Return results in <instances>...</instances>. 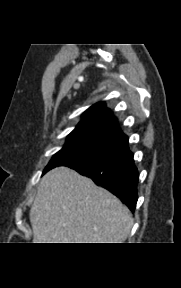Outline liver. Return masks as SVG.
<instances>
[{"label": "liver", "instance_id": "1", "mask_svg": "<svg viewBox=\"0 0 181 288\" xmlns=\"http://www.w3.org/2000/svg\"><path fill=\"white\" fill-rule=\"evenodd\" d=\"M30 222L34 243H123L133 225L117 197L65 166L41 179Z\"/></svg>", "mask_w": 181, "mask_h": 288}]
</instances>
